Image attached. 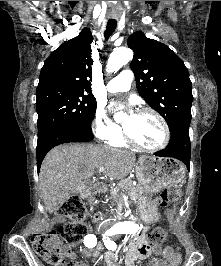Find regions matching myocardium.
I'll list each match as a JSON object with an SVG mask.
<instances>
[{"mask_svg": "<svg viewBox=\"0 0 221 266\" xmlns=\"http://www.w3.org/2000/svg\"><path fill=\"white\" fill-rule=\"evenodd\" d=\"M138 114H142V113H148L153 115L160 123L162 130H163V137L162 140L160 141L159 144L153 146V147H147V146H143L142 144L138 143L128 132V130L123 126V136L124 139L126 141L127 144H129L130 146L143 151V152H156L159 151L161 149H163L169 142V138H170V130H169V126L166 122V120L164 119V117L157 112L156 110L152 109V108H141L140 110H138L137 112Z\"/></svg>", "mask_w": 221, "mask_h": 266, "instance_id": "f54148a6", "label": "myocardium"}]
</instances>
